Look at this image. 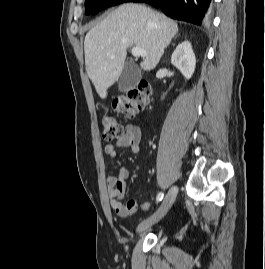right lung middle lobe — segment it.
Listing matches in <instances>:
<instances>
[{
    "label": "right lung middle lobe",
    "mask_w": 265,
    "mask_h": 269,
    "mask_svg": "<svg viewBox=\"0 0 265 269\" xmlns=\"http://www.w3.org/2000/svg\"><path fill=\"white\" fill-rule=\"evenodd\" d=\"M128 1L129 0H85V14H96L104 8L115 6Z\"/></svg>",
    "instance_id": "obj_1"
}]
</instances>
